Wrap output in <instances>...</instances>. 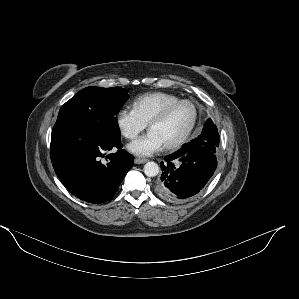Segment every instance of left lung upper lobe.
<instances>
[{
  "label": "left lung upper lobe",
  "instance_id": "obj_1",
  "mask_svg": "<svg viewBox=\"0 0 299 299\" xmlns=\"http://www.w3.org/2000/svg\"><path fill=\"white\" fill-rule=\"evenodd\" d=\"M201 134H205L206 138H209V142L213 144V152L217 154V148L219 146V134L216 125H214L211 119L206 121Z\"/></svg>",
  "mask_w": 299,
  "mask_h": 299
}]
</instances>
